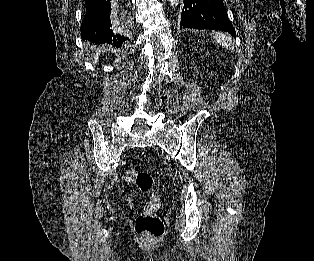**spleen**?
I'll use <instances>...</instances> for the list:
<instances>
[{
  "label": "spleen",
  "mask_w": 314,
  "mask_h": 261,
  "mask_svg": "<svg viewBox=\"0 0 314 261\" xmlns=\"http://www.w3.org/2000/svg\"><path fill=\"white\" fill-rule=\"evenodd\" d=\"M211 37L226 49H229L231 51L234 50V42L232 41L230 36H227L226 34L221 32H212Z\"/></svg>",
  "instance_id": "3e777b00"
}]
</instances>
